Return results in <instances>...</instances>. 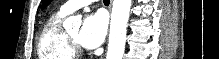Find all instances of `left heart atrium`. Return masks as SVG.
<instances>
[{"label":"left heart atrium","mask_w":219,"mask_h":59,"mask_svg":"<svg viewBox=\"0 0 219 59\" xmlns=\"http://www.w3.org/2000/svg\"><path fill=\"white\" fill-rule=\"evenodd\" d=\"M107 31V20L100 13L90 14L85 17L79 33V42L86 48L93 49L102 44Z\"/></svg>","instance_id":"obj_1"}]
</instances>
